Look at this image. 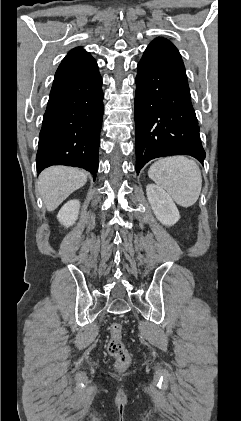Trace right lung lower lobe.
<instances>
[{"mask_svg": "<svg viewBox=\"0 0 241 421\" xmlns=\"http://www.w3.org/2000/svg\"><path fill=\"white\" fill-rule=\"evenodd\" d=\"M102 78L90 56L56 71L43 117L36 156L37 172L51 165L98 171L103 116Z\"/></svg>", "mask_w": 241, "mask_h": 421, "instance_id": "98d812e1", "label": "right lung lower lobe"}]
</instances>
